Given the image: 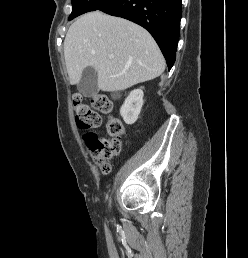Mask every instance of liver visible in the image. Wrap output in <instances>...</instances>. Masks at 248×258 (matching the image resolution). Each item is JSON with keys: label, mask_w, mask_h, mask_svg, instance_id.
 Masks as SVG:
<instances>
[{"label": "liver", "mask_w": 248, "mask_h": 258, "mask_svg": "<svg viewBox=\"0 0 248 258\" xmlns=\"http://www.w3.org/2000/svg\"><path fill=\"white\" fill-rule=\"evenodd\" d=\"M64 57L71 84H79L90 66L97 71L98 88L110 92L152 80L165 69L164 57L145 29L99 11L82 15L70 26Z\"/></svg>", "instance_id": "obj_1"}]
</instances>
